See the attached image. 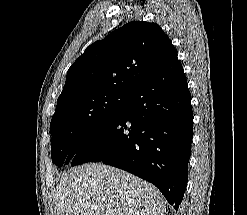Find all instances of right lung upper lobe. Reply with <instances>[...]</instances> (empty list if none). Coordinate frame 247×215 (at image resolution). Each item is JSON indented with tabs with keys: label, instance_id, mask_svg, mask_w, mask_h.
<instances>
[{
	"label": "right lung upper lobe",
	"instance_id": "obj_1",
	"mask_svg": "<svg viewBox=\"0 0 247 215\" xmlns=\"http://www.w3.org/2000/svg\"><path fill=\"white\" fill-rule=\"evenodd\" d=\"M175 51L158 24L130 22L86 48L69 68L57 106L66 99L95 93L132 94Z\"/></svg>",
	"mask_w": 247,
	"mask_h": 215
}]
</instances>
